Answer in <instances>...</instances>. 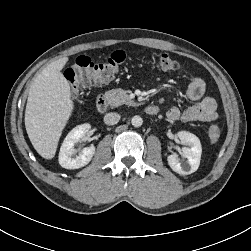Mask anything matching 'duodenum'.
Instances as JSON below:
<instances>
[{"label": "duodenum", "mask_w": 251, "mask_h": 251, "mask_svg": "<svg viewBox=\"0 0 251 251\" xmlns=\"http://www.w3.org/2000/svg\"><path fill=\"white\" fill-rule=\"evenodd\" d=\"M96 105L100 112H106L110 107V101L108 97L101 94L97 97ZM145 112L148 115H156L159 112V108L156 105H147L145 107Z\"/></svg>", "instance_id": "obj_1"}]
</instances>
